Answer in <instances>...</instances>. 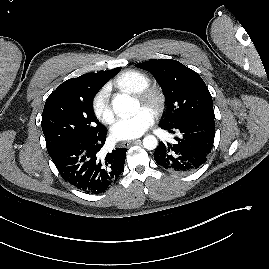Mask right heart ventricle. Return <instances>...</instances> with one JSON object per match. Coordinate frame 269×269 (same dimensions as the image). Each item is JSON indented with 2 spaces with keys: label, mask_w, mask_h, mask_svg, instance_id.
Returning a JSON list of instances; mask_svg holds the SVG:
<instances>
[{
  "label": "right heart ventricle",
  "mask_w": 269,
  "mask_h": 269,
  "mask_svg": "<svg viewBox=\"0 0 269 269\" xmlns=\"http://www.w3.org/2000/svg\"><path fill=\"white\" fill-rule=\"evenodd\" d=\"M149 84V77L145 73L134 69L122 72L113 80V85L118 90L129 94H138Z\"/></svg>",
  "instance_id": "right-heart-ventricle-1"
}]
</instances>
